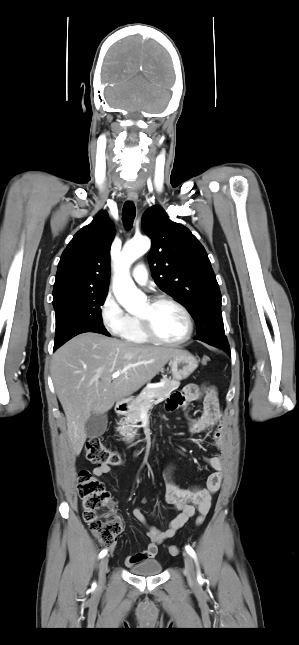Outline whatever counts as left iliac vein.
<instances>
[{"mask_svg":"<svg viewBox=\"0 0 299 645\" xmlns=\"http://www.w3.org/2000/svg\"><path fill=\"white\" fill-rule=\"evenodd\" d=\"M183 556H184V574L187 577V580L190 584H196L197 579H196L193 560L187 552H184Z\"/></svg>","mask_w":299,"mask_h":645,"instance_id":"4c4485c4","label":"left iliac vein"}]
</instances>
